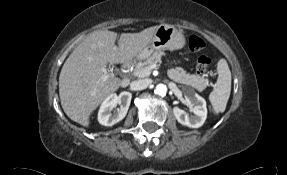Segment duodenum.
Instances as JSON below:
<instances>
[{"instance_id":"obj_1","label":"duodenum","mask_w":287,"mask_h":175,"mask_svg":"<svg viewBox=\"0 0 287 175\" xmlns=\"http://www.w3.org/2000/svg\"><path fill=\"white\" fill-rule=\"evenodd\" d=\"M123 68H124V74H123V76H122V86H123V87H126V86H128V84H129V78L127 77V73H128V71H129L130 64H129V63H126V64L123 66Z\"/></svg>"}]
</instances>
